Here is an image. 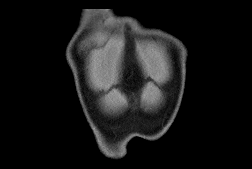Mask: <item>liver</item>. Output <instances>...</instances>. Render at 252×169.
I'll return each mask as SVG.
<instances>
[{"mask_svg":"<svg viewBox=\"0 0 252 169\" xmlns=\"http://www.w3.org/2000/svg\"><path fill=\"white\" fill-rule=\"evenodd\" d=\"M102 73L99 69H96L92 74V82L94 86H99L102 81Z\"/></svg>","mask_w":252,"mask_h":169,"instance_id":"obj_1","label":"liver"}]
</instances>
